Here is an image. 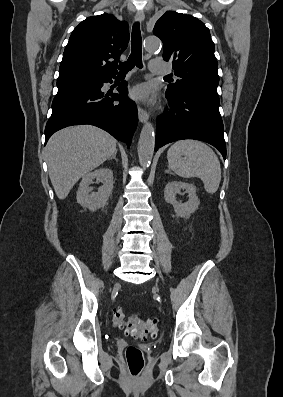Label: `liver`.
<instances>
[{"mask_svg":"<svg viewBox=\"0 0 283 397\" xmlns=\"http://www.w3.org/2000/svg\"><path fill=\"white\" fill-rule=\"evenodd\" d=\"M49 177L59 199H65L75 183L109 159L116 151V140L91 125L64 128L46 146Z\"/></svg>","mask_w":283,"mask_h":397,"instance_id":"6515ba94","label":"liver"}]
</instances>
